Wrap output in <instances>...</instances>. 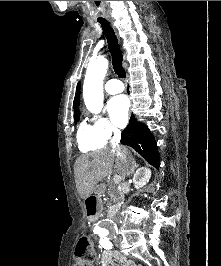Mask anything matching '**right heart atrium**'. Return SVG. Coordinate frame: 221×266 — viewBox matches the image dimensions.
I'll return each instance as SVG.
<instances>
[{
  "label": "right heart atrium",
  "instance_id": "1",
  "mask_svg": "<svg viewBox=\"0 0 221 266\" xmlns=\"http://www.w3.org/2000/svg\"><path fill=\"white\" fill-rule=\"evenodd\" d=\"M94 128L96 132L102 137L105 141L111 140L113 137L120 133L118 127L113 124L107 117L105 116H96L94 118Z\"/></svg>",
  "mask_w": 221,
  "mask_h": 266
}]
</instances>
